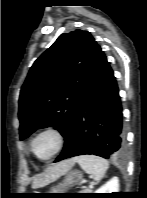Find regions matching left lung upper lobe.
Segmentation results:
<instances>
[{
  "label": "left lung upper lobe",
  "instance_id": "left-lung-upper-lobe-1",
  "mask_svg": "<svg viewBox=\"0 0 147 198\" xmlns=\"http://www.w3.org/2000/svg\"><path fill=\"white\" fill-rule=\"evenodd\" d=\"M99 45L88 31L61 34L33 64L19 98L20 139L53 126L65 138L89 82Z\"/></svg>",
  "mask_w": 147,
  "mask_h": 198
}]
</instances>
